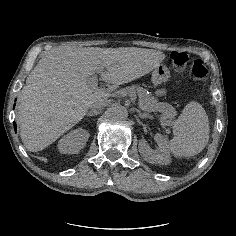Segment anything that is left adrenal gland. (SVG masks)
Returning <instances> with one entry per match:
<instances>
[{
    "label": "left adrenal gland",
    "mask_w": 236,
    "mask_h": 236,
    "mask_svg": "<svg viewBox=\"0 0 236 236\" xmlns=\"http://www.w3.org/2000/svg\"><path fill=\"white\" fill-rule=\"evenodd\" d=\"M138 115H139L140 119H145L147 117L153 116L152 114L147 113V112H142L141 110H138Z\"/></svg>",
    "instance_id": "left-adrenal-gland-1"
}]
</instances>
